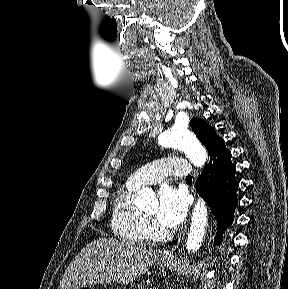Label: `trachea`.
<instances>
[{
	"mask_svg": "<svg viewBox=\"0 0 288 289\" xmlns=\"http://www.w3.org/2000/svg\"><path fill=\"white\" fill-rule=\"evenodd\" d=\"M186 180H192V177L191 176H187Z\"/></svg>",
	"mask_w": 288,
	"mask_h": 289,
	"instance_id": "trachea-1",
	"label": "trachea"
}]
</instances>
